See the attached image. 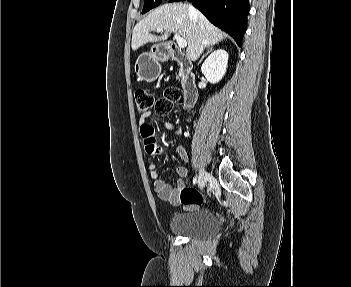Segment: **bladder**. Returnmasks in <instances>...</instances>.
<instances>
[{
    "label": "bladder",
    "mask_w": 351,
    "mask_h": 287,
    "mask_svg": "<svg viewBox=\"0 0 351 287\" xmlns=\"http://www.w3.org/2000/svg\"><path fill=\"white\" fill-rule=\"evenodd\" d=\"M170 230L180 236L208 238L220 229V222L210 210L197 209L175 213L169 223Z\"/></svg>",
    "instance_id": "bladder-1"
}]
</instances>
